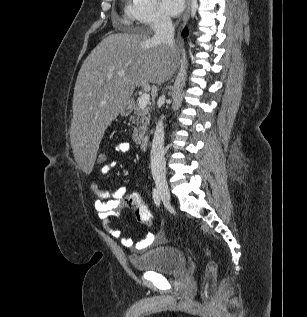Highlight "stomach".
Here are the masks:
<instances>
[{
    "instance_id": "0dacf381",
    "label": "stomach",
    "mask_w": 307,
    "mask_h": 317,
    "mask_svg": "<svg viewBox=\"0 0 307 317\" xmlns=\"http://www.w3.org/2000/svg\"><path fill=\"white\" fill-rule=\"evenodd\" d=\"M132 111V103L130 100L124 102L119 108V114L123 117L128 116Z\"/></svg>"
}]
</instances>
